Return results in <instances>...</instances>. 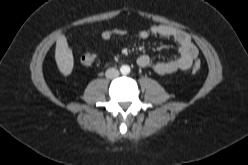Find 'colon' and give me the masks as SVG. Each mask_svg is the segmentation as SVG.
<instances>
[{
  "label": "colon",
  "mask_w": 248,
  "mask_h": 165,
  "mask_svg": "<svg viewBox=\"0 0 248 165\" xmlns=\"http://www.w3.org/2000/svg\"><path fill=\"white\" fill-rule=\"evenodd\" d=\"M95 56L92 53H86L81 57V61L84 65H90L94 62ZM201 69V63L200 61H196L193 65L192 71L197 73Z\"/></svg>",
  "instance_id": "obj_1"
}]
</instances>
